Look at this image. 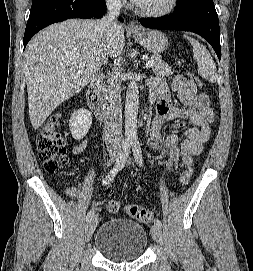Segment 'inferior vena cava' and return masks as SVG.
Segmentation results:
<instances>
[{"label": "inferior vena cava", "mask_w": 253, "mask_h": 271, "mask_svg": "<svg viewBox=\"0 0 253 271\" xmlns=\"http://www.w3.org/2000/svg\"><path fill=\"white\" fill-rule=\"evenodd\" d=\"M107 14L98 21L97 26L104 35H109L113 30L115 18L121 9L120 0H106ZM113 77V75H112ZM104 139L107 150L117 153L122 147V104L119 85L113 78L104 89Z\"/></svg>", "instance_id": "inferior-vena-cava-1"}]
</instances>
